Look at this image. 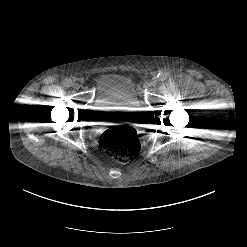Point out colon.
Instances as JSON below:
<instances>
[{
  "label": "colon",
  "instance_id": "1",
  "mask_svg": "<svg viewBox=\"0 0 247 247\" xmlns=\"http://www.w3.org/2000/svg\"><path fill=\"white\" fill-rule=\"evenodd\" d=\"M99 145L107 155L120 163L133 160L141 149L136 131L128 126L105 130L100 135Z\"/></svg>",
  "mask_w": 247,
  "mask_h": 247
}]
</instances>
